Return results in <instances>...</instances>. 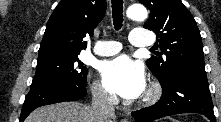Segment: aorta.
Wrapping results in <instances>:
<instances>
[{"mask_svg":"<svg viewBox=\"0 0 221 122\" xmlns=\"http://www.w3.org/2000/svg\"><path fill=\"white\" fill-rule=\"evenodd\" d=\"M147 15V10L142 4H133L127 9V17L131 20L143 21Z\"/></svg>","mask_w":221,"mask_h":122,"instance_id":"aorta-1","label":"aorta"}]
</instances>
